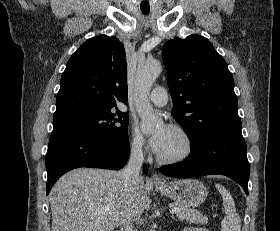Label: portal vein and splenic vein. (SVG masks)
I'll list each match as a JSON object with an SVG mask.
<instances>
[{
	"label": "portal vein and splenic vein",
	"mask_w": 280,
	"mask_h": 231,
	"mask_svg": "<svg viewBox=\"0 0 280 231\" xmlns=\"http://www.w3.org/2000/svg\"><path fill=\"white\" fill-rule=\"evenodd\" d=\"M104 211H110L109 207H105V209H100V211H96V215H98V213H104ZM176 211L177 207H171L170 213H176Z\"/></svg>",
	"instance_id": "portal-vein-and-splenic-vein-1"
}]
</instances>
